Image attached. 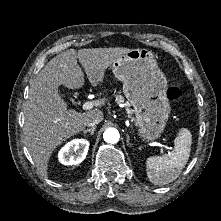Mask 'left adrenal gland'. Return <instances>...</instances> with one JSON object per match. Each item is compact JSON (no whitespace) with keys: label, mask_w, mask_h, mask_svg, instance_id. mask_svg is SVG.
<instances>
[{"label":"left adrenal gland","mask_w":221,"mask_h":221,"mask_svg":"<svg viewBox=\"0 0 221 221\" xmlns=\"http://www.w3.org/2000/svg\"><path fill=\"white\" fill-rule=\"evenodd\" d=\"M126 142H127V145H132V144L130 143V137H129V135H127V140H126Z\"/></svg>","instance_id":"a2214340"}]
</instances>
